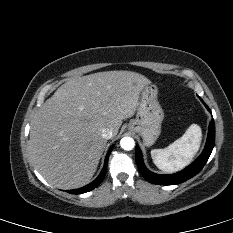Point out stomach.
<instances>
[{
  "label": "stomach",
  "instance_id": "0dacf381",
  "mask_svg": "<svg viewBox=\"0 0 233 233\" xmlns=\"http://www.w3.org/2000/svg\"><path fill=\"white\" fill-rule=\"evenodd\" d=\"M157 87L149 83L140 91V101L137 114L128 124V129L142 136L146 146H151L161 133V123L164 119L163 110L157 100Z\"/></svg>",
  "mask_w": 233,
  "mask_h": 233
}]
</instances>
